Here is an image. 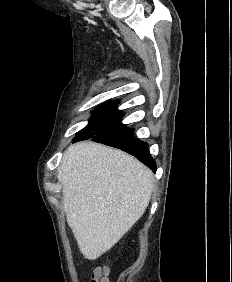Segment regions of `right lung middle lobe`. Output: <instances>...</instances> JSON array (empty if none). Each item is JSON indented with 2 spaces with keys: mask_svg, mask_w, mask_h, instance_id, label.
Here are the masks:
<instances>
[{
  "mask_svg": "<svg viewBox=\"0 0 232 282\" xmlns=\"http://www.w3.org/2000/svg\"><path fill=\"white\" fill-rule=\"evenodd\" d=\"M115 107L116 102L109 101L102 104L96 111H93L94 115L89 120L88 127L79 131L73 140L89 139L95 135L125 128V125L121 123L122 113Z\"/></svg>",
  "mask_w": 232,
  "mask_h": 282,
  "instance_id": "right-lung-middle-lobe-1",
  "label": "right lung middle lobe"
}]
</instances>
